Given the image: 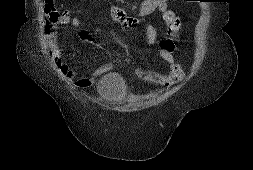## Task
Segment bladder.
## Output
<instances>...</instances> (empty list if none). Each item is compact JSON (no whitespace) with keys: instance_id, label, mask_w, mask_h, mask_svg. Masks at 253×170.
Returning <instances> with one entry per match:
<instances>
[{"instance_id":"bladder-1","label":"bladder","mask_w":253,"mask_h":170,"mask_svg":"<svg viewBox=\"0 0 253 170\" xmlns=\"http://www.w3.org/2000/svg\"><path fill=\"white\" fill-rule=\"evenodd\" d=\"M97 90L104 100L118 102L126 96L128 88L122 75L109 72L98 81Z\"/></svg>"}]
</instances>
